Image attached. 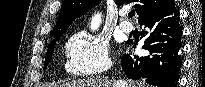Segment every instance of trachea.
<instances>
[{
    "label": "trachea",
    "mask_w": 205,
    "mask_h": 87,
    "mask_svg": "<svg viewBox=\"0 0 205 87\" xmlns=\"http://www.w3.org/2000/svg\"><path fill=\"white\" fill-rule=\"evenodd\" d=\"M135 15V11L134 10H132V11H130L129 13H128V16L129 17H133Z\"/></svg>",
    "instance_id": "3493384b"
}]
</instances>
